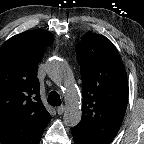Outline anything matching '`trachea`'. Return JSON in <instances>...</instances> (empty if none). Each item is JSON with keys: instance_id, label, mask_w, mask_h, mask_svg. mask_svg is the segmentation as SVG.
<instances>
[{"instance_id": "trachea-1", "label": "trachea", "mask_w": 144, "mask_h": 144, "mask_svg": "<svg viewBox=\"0 0 144 144\" xmlns=\"http://www.w3.org/2000/svg\"><path fill=\"white\" fill-rule=\"evenodd\" d=\"M48 103L52 106H60L61 99L56 91H52L48 96Z\"/></svg>"}]
</instances>
